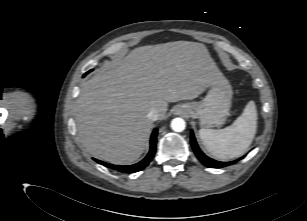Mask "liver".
I'll return each instance as SVG.
<instances>
[{
  "label": "liver",
  "mask_w": 307,
  "mask_h": 221,
  "mask_svg": "<svg viewBox=\"0 0 307 221\" xmlns=\"http://www.w3.org/2000/svg\"><path fill=\"white\" fill-rule=\"evenodd\" d=\"M223 75L201 43L176 41L142 46L97 71L76 102V125L84 147L113 164H131L143 153L153 122L168 103L197 98Z\"/></svg>",
  "instance_id": "1"
}]
</instances>
